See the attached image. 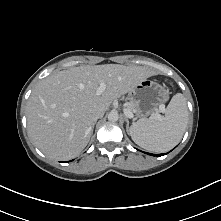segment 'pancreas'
I'll return each instance as SVG.
<instances>
[{"mask_svg": "<svg viewBox=\"0 0 221 221\" xmlns=\"http://www.w3.org/2000/svg\"><path fill=\"white\" fill-rule=\"evenodd\" d=\"M127 109H129L130 111H133V106H132L131 102L128 104Z\"/></svg>", "mask_w": 221, "mask_h": 221, "instance_id": "pancreas-1", "label": "pancreas"}]
</instances>
